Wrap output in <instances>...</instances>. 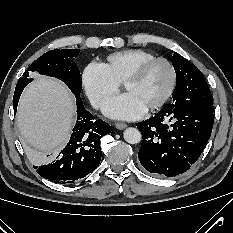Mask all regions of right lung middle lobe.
I'll return each instance as SVG.
<instances>
[{"label": "right lung middle lobe", "mask_w": 233, "mask_h": 233, "mask_svg": "<svg viewBox=\"0 0 233 233\" xmlns=\"http://www.w3.org/2000/svg\"><path fill=\"white\" fill-rule=\"evenodd\" d=\"M79 52V49H55L43 54L24 72L16 85L15 91H23L32 80L29 76L33 73L55 77L63 81L73 92L76 99H81V75L74 62Z\"/></svg>", "instance_id": "dd1d6c3e"}]
</instances>
